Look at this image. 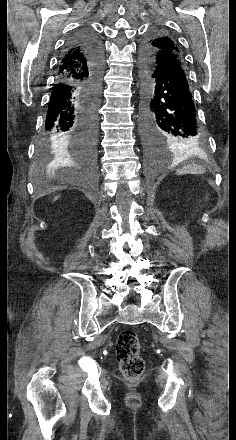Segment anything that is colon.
Listing matches in <instances>:
<instances>
[{
	"label": "colon",
	"instance_id": "5ec220e1",
	"mask_svg": "<svg viewBox=\"0 0 236 440\" xmlns=\"http://www.w3.org/2000/svg\"><path fill=\"white\" fill-rule=\"evenodd\" d=\"M116 355L126 378L135 379L143 373L145 363L140 355L138 337L133 330L121 332L116 343Z\"/></svg>",
	"mask_w": 236,
	"mask_h": 440
}]
</instances>
